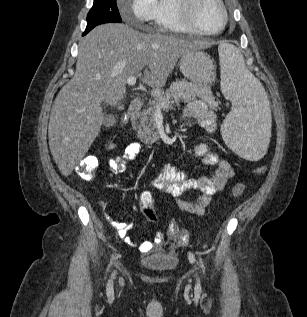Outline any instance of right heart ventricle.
Here are the masks:
<instances>
[{"label":"right heart ventricle","mask_w":307,"mask_h":317,"mask_svg":"<svg viewBox=\"0 0 307 317\" xmlns=\"http://www.w3.org/2000/svg\"><path fill=\"white\" fill-rule=\"evenodd\" d=\"M155 29L161 32L191 33L181 20L177 0H159Z\"/></svg>","instance_id":"right-heart-ventricle-1"}]
</instances>
